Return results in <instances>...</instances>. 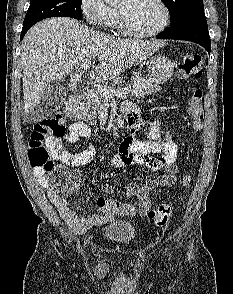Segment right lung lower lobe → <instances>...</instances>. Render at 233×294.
I'll return each instance as SVG.
<instances>
[{
  "label": "right lung lower lobe",
  "instance_id": "98d812e1",
  "mask_svg": "<svg viewBox=\"0 0 233 294\" xmlns=\"http://www.w3.org/2000/svg\"><path fill=\"white\" fill-rule=\"evenodd\" d=\"M29 28H30V27H23L22 32H21V36H20V39H21V40L23 39L25 33L28 31Z\"/></svg>",
  "mask_w": 233,
  "mask_h": 294
}]
</instances>
